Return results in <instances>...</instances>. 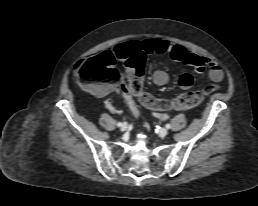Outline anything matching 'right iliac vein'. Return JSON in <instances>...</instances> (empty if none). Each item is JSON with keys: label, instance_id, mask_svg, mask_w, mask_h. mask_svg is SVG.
Returning a JSON list of instances; mask_svg holds the SVG:
<instances>
[{"label": "right iliac vein", "instance_id": "right-iliac-vein-1", "mask_svg": "<svg viewBox=\"0 0 258 206\" xmlns=\"http://www.w3.org/2000/svg\"><path fill=\"white\" fill-rule=\"evenodd\" d=\"M127 128H128L127 123H123V124L121 125V127H120V130H121V131H126Z\"/></svg>", "mask_w": 258, "mask_h": 206}]
</instances>
